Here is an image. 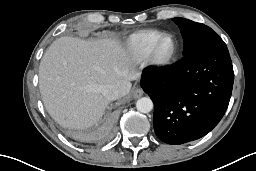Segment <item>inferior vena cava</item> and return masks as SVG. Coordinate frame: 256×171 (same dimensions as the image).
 <instances>
[{
    "label": "inferior vena cava",
    "mask_w": 256,
    "mask_h": 171,
    "mask_svg": "<svg viewBox=\"0 0 256 171\" xmlns=\"http://www.w3.org/2000/svg\"><path fill=\"white\" fill-rule=\"evenodd\" d=\"M102 94L107 100L114 101L119 97V90L116 86L108 84L103 86Z\"/></svg>",
    "instance_id": "602c4592"
}]
</instances>
